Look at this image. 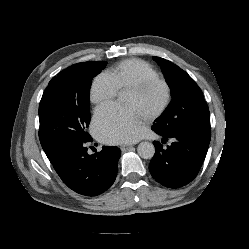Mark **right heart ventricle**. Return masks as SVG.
<instances>
[{
  "label": "right heart ventricle",
  "mask_w": 249,
  "mask_h": 249,
  "mask_svg": "<svg viewBox=\"0 0 249 249\" xmlns=\"http://www.w3.org/2000/svg\"><path fill=\"white\" fill-rule=\"evenodd\" d=\"M109 75L122 90H127L145 79L158 77L155 69L139 59H128L120 62L109 72Z\"/></svg>",
  "instance_id": "right-heart-ventricle-1"
}]
</instances>
